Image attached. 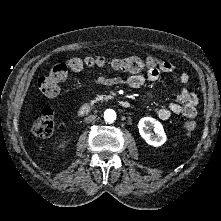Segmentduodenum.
I'll list each match as a JSON object with an SVG mask.
<instances>
[{
	"label": "duodenum",
	"instance_id": "1",
	"mask_svg": "<svg viewBox=\"0 0 221 221\" xmlns=\"http://www.w3.org/2000/svg\"><path fill=\"white\" fill-rule=\"evenodd\" d=\"M118 102L120 106L123 108H129L131 105L130 102L126 99H120ZM92 110H93L92 104L85 103L82 106H80V108L77 111V115L78 116L88 115L92 112Z\"/></svg>",
	"mask_w": 221,
	"mask_h": 221
}]
</instances>
